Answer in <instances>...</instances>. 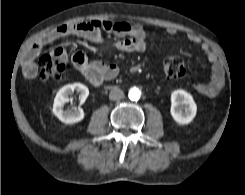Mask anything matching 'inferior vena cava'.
Wrapping results in <instances>:
<instances>
[{
	"label": "inferior vena cava",
	"mask_w": 245,
	"mask_h": 195,
	"mask_svg": "<svg viewBox=\"0 0 245 195\" xmlns=\"http://www.w3.org/2000/svg\"><path fill=\"white\" fill-rule=\"evenodd\" d=\"M124 92L121 89H112L109 93V99L112 101H119L124 98Z\"/></svg>",
	"instance_id": "inferior-vena-cava-1"
}]
</instances>
